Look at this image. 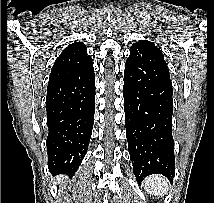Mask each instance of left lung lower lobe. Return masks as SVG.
<instances>
[{
  "mask_svg": "<svg viewBox=\"0 0 214 203\" xmlns=\"http://www.w3.org/2000/svg\"><path fill=\"white\" fill-rule=\"evenodd\" d=\"M173 89L163 58L130 49L124 71L128 151L137 181L150 174L175 175L172 136Z\"/></svg>",
  "mask_w": 214,
  "mask_h": 203,
  "instance_id": "obj_1",
  "label": "left lung lower lobe"
}]
</instances>
